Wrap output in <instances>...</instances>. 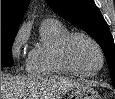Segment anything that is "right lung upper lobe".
Listing matches in <instances>:
<instances>
[{
	"instance_id": "obj_1",
	"label": "right lung upper lobe",
	"mask_w": 115,
	"mask_h": 99,
	"mask_svg": "<svg viewBox=\"0 0 115 99\" xmlns=\"http://www.w3.org/2000/svg\"><path fill=\"white\" fill-rule=\"evenodd\" d=\"M30 0H1V33H17Z\"/></svg>"
}]
</instances>
